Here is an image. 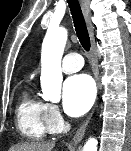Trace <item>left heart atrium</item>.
I'll list each match as a JSON object with an SVG mask.
<instances>
[{"label": "left heart atrium", "mask_w": 131, "mask_h": 151, "mask_svg": "<svg viewBox=\"0 0 131 151\" xmlns=\"http://www.w3.org/2000/svg\"><path fill=\"white\" fill-rule=\"evenodd\" d=\"M95 97V85L87 74L69 77L63 85V107L73 117L83 115L92 105Z\"/></svg>", "instance_id": "39dd6f15"}]
</instances>
